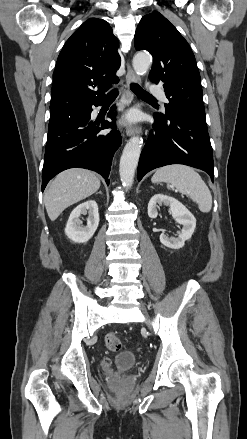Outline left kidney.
Instances as JSON below:
<instances>
[{
    "mask_svg": "<svg viewBox=\"0 0 247 439\" xmlns=\"http://www.w3.org/2000/svg\"><path fill=\"white\" fill-rule=\"evenodd\" d=\"M162 204L170 207V212L177 223L181 224L182 230L178 232V237H168L164 233L160 235V242L168 248L180 249L185 241L189 240L196 227V219L193 214L178 200L164 194H155L148 203V216L152 219L157 218V207Z\"/></svg>",
    "mask_w": 247,
    "mask_h": 439,
    "instance_id": "left-kidney-1",
    "label": "left kidney"
}]
</instances>
